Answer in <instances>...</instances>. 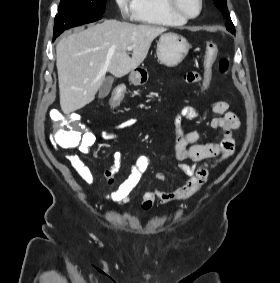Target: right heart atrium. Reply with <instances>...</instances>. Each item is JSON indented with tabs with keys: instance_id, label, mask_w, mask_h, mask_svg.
<instances>
[{
	"instance_id": "right-heart-atrium-1",
	"label": "right heart atrium",
	"mask_w": 280,
	"mask_h": 283,
	"mask_svg": "<svg viewBox=\"0 0 280 283\" xmlns=\"http://www.w3.org/2000/svg\"><path fill=\"white\" fill-rule=\"evenodd\" d=\"M134 1L135 0H115L118 9L124 16L132 14Z\"/></svg>"
}]
</instances>
